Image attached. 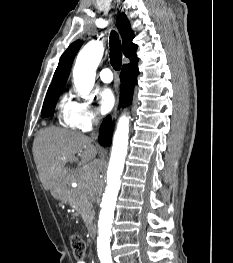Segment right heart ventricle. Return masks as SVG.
<instances>
[{
    "label": "right heart ventricle",
    "instance_id": "right-heart-ventricle-1",
    "mask_svg": "<svg viewBox=\"0 0 233 263\" xmlns=\"http://www.w3.org/2000/svg\"><path fill=\"white\" fill-rule=\"evenodd\" d=\"M75 102L67 96L62 97L58 105V116L61 124L71 127V116L74 111ZM72 128V127H71Z\"/></svg>",
    "mask_w": 233,
    "mask_h": 263
}]
</instances>
